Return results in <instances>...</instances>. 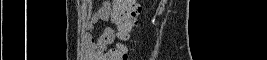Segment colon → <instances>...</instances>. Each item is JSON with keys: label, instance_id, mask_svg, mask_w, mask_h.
<instances>
[{"label": "colon", "instance_id": "obj_1", "mask_svg": "<svg viewBox=\"0 0 267 60\" xmlns=\"http://www.w3.org/2000/svg\"><path fill=\"white\" fill-rule=\"evenodd\" d=\"M139 6L135 0H116L111 11V20L117 26V36L127 39L129 34L137 27ZM110 59L127 60L128 54L123 47H118L110 53Z\"/></svg>", "mask_w": 267, "mask_h": 60}]
</instances>
